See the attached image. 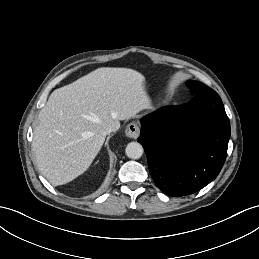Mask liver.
Instances as JSON below:
<instances>
[{
	"label": "liver",
	"mask_w": 259,
	"mask_h": 259,
	"mask_svg": "<svg viewBox=\"0 0 259 259\" xmlns=\"http://www.w3.org/2000/svg\"><path fill=\"white\" fill-rule=\"evenodd\" d=\"M148 107L144 77L127 68L102 67L54 90L41 109L32 149L53 185L83 174L105 141L103 130L120 127Z\"/></svg>",
	"instance_id": "liver-1"
}]
</instances>
